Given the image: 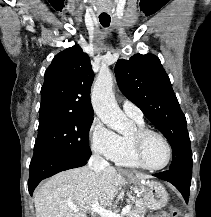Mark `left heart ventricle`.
Wrapping results in <instances>:
<instances>
[{
	"label": "left heart ventricle",
	"mask_w": 211,
	"mask_h": 217,
	"mask_svg": "<svg viewBox=\"0 0 211 217\" xmlns=\"http://www.w3.org/2000/svg\"><path fill=\"white\" fill-rule=\"evenodd\" d=\"M144 157L150 166L158 167L163 165L168 157L164 141L158 136H150L144 145Z\"/></svg>",
	"instance_id": "obj_1"
}]
</instances>
